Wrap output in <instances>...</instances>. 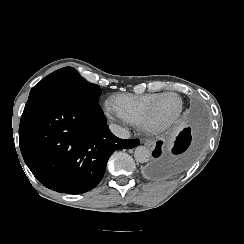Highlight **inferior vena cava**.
Returning <instances> with one entry per match:
<instances>
[{"label":"inferior vena cava","instance_id":"1","mask_svg":"<svg viewBox=\"0 0 244 244\" xmlns=\"http://www.w3.org/2000/svg\"><path fill=\"white\" fill-rule=\"evenodd\" d=\"M109 128L111 132L119 138L128 139L130 137V132L116 124H110Z\"/></svg>","mask_w":244,"mask_h":244}]
</instances>
